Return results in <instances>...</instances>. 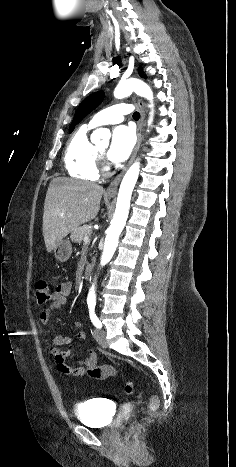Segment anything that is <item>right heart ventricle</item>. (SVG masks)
<instances>
[{
	"mask_svg": "<svg viewBox=\"0 0 236 467\" xmlns=\"http://www.w3.org/2000/svg\"><path fill=\"white\" fill-rule=\"evenodd\" d=\"M90 129L87 125L80 127L70 139L64 154L67 173L84 181L99 179V157L97 148L88 138Z\"/></svg>",
	"mask_w": 236,
	"mask_h": 467,
	"instance_id": "e07e8e85",
	"label": "right heart ventricle"
}]
</instances>
